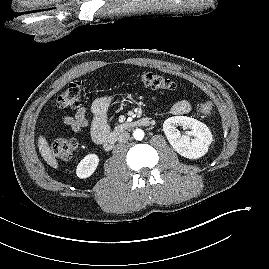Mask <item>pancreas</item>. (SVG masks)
<instances>
[{"instance_id":"1","label":"pancreas","mask_w":269,"mask_h":269,"mask_svg":"<svg viewBox=\"0 0 269 269\" xmlns=\"http://www.w3.org/2000/svg\"><path fill=\"white\" fill-rule=\"evenodd\" d=\"M125 128V124H120L119 126L116 127V130H122Z\"/></svg>"}]
</instances>
